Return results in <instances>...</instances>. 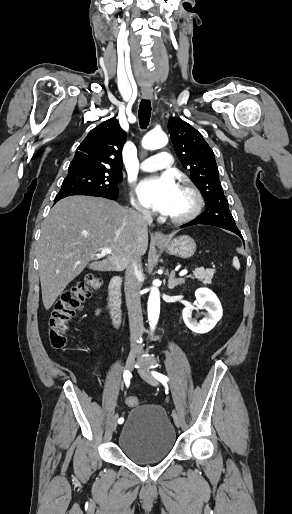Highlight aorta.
<instances>
[{
    "instance_id": "762f6f07",
    "label": "aorta",
    "mask_w": 292,
    "mask_h": 514,
    "mask_svg": "<svg viewBox=\"0 0 292 514\" xmlns=\"http://www.w3.org/2000/svg\"><path fill=\"white\" fill-rule=\"evenodd\" d=\"M168 138L164 132L160 130H152L148 132L143 138L142 146L145 150H159L167 146ZM160 312V294L157 288H151L149 300H148V318L150 326L153 330L155 328Z\"/></svg>"
}]
</instances>
